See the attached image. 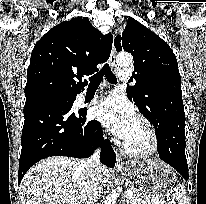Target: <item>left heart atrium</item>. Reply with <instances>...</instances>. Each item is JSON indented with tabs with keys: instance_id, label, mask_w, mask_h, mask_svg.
I'll return each instance as SVG.
<instances>
[{
	"instance_id": "1",
	"label": "left heart atrium",
	"mask_w": 206,
	"mask_h": 204,
	"mask_svg": "<svg viewBox=\"0 0 206 204\" xmlns=\"http://www.w3.org/2000/svg\"><path fill=\"white\" fill-rule=\"evenodd\" d=\"M96 118L115 135L126 140L137 121L133 105L121 94H112L95 109Z\"/></svg>"
}]
</instances>
